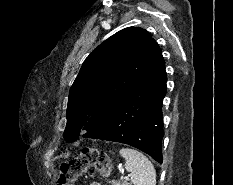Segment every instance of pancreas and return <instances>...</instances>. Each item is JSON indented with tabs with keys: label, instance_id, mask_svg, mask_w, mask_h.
Returning a JSON list of instances; mask_svg holds the SVG:
<instances>
[{
	"label": "pancreas",
	"instance_id": "cf45deb5",
	"mask_svg": "<svg viewBox=\"0 0 233 185\" xmlns=\"http://www.w3.org/2000/svg\"><path fill=\"white\" fill-rule=\"evenodd\" d=\"M112 185H130L127 181H123V182H120V181H109Z\"/></svg>",
	"mask_w": 233,
	"mask_h": 185
}]
</instances>
